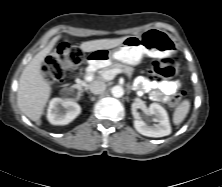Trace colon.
Wrapping results in <instances>:
<instances>
[{"mask_svg":"<svg viewBox=\"0 0 222 187\" xmlns=\"http://www.w3.org/2000/svg\"><path fill=\"white\" fill-rule=\"evenodd\" d=\"M83 62L82 52L68 44H60L45 60L43 72L47 80L61 81L67 73L75 71ZM178 73V66L163 58L151 63L148 74L154 78H171ZM184 91L177 92L170 100L171 106H177L184 98Z\"/></svg>","mask_w":222,"mask_h":187,"instance_id":"obj_1","label":"colon"}]
</instances>
